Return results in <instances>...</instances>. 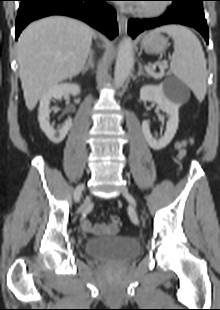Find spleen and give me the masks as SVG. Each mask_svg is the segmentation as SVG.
<instances>
[{
    "label": "spleen",
    "mask_w": 220,
    "mask_h": 310,
    "mask_svg": "<svg viewBox=\"0 0 220 310\" xmlns=\"http://www.w3.org/2000/svg\"><path fill=\"white\" fill-rule=\"evenodd\" d=\"M165 32L174 42L173 59L170 70L184 82L203 101L206 94V59L199 39L187 27L181 25H166L151 32Z\"/></svg>",
    "instance_id": "obj_1"
}]
</instances>
